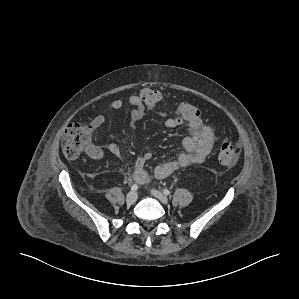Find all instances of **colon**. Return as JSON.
<instances>
[{
  "mask_svg": "<svg viewBox=\"0 0 299 299\" xmlns=\"http://www.w3.org/2000/svg\"><path fill=\"white\" fill-rule=\"evenodd\" d=\"M146 109L150 111L160 110L162 96L159 91L152 88H144L139 93ZM171 117L177 124H188L200 118L199 109L189 102H181L172 111ZM93 128L80 123L69 124L62 141L64 155L69 159H75L84 151L91 148ZM240 157V149L231 142H224L218 153V160L224 166H234Z\"/></svg>",
  "mask_w": 299,
  "mask_h": 299,
  "instance_id": "colon-1",
  "label": "colon"
}]
</instances>
